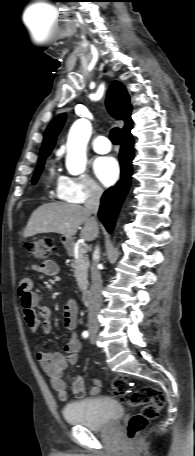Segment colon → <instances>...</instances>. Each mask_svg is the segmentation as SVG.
Returning a JSON list of instances; mask_svg holds the SVG:
<instances>
[{
    "mask_svg": "<svg viewBox=\"0 0 195 456\" xmlns=\"http://www.w3.org/2000/svg\"><path fill=\"white\" fill-rule=\"evenodd\" d=\"M24 248L34 257L46 259L54 248V242L49 237H41L27 242ZM112 393L128 405L142 407L128 422L129 440L136 439L145 430L149 421L159 415L166 401L164 392L155 387L144 386L131 392V382L125 376H117L112 380Z\"/></svg>",
    "mask_w": 195,
    "mask_h": 456,
    "instance_id": "5ec220e1",
    "label": "colon"
}]
</instances>
